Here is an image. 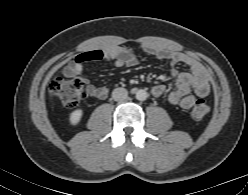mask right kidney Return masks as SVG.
I'll return each mask as SVG.
<instances>
[{
	"label": "right kidney",
	"instance_id": "1",
	"mask_svg": "<svg viewBox=\"0 0 248 195\" xmlns=\"http://www.w3.org/2000/svg\"><path fill=\"white\" fill-rule=\"evenodd\" d=\"M82 115H83V111L81 109H76L70 114V118H69L70 123L72 125L78 124L82 118Z\"/></svg>",
	"mask_w": 248,
	"mask_h": 195
}]
</instances>
